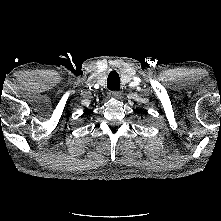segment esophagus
Wrapping results in <instances>:
<instances>
[{"label":"esophagus","instance_id":"esophagus-1","mask_svg":"<svg viewBox=\"0 0 221 221\" xmlns=\"http://www.w3.org/2000/svg\"><path fill=\"white\" fill-rule=\"evenodd\" d=\"M110 94H111L112 96L117 97V96L120 94V92L117 91V90H114V91H111Z\"/></svg>","mask_w":221,"mask_h":221}]
</instances>
